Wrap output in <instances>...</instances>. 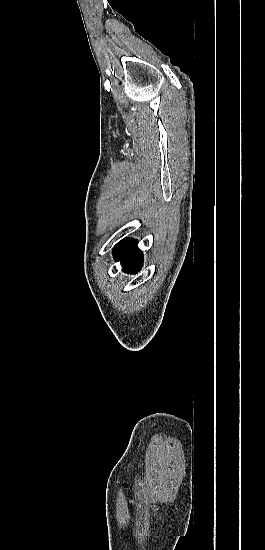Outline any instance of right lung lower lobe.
Instances as JSON below:
<instances>
[{"mask_svg":"<svg viewBox=\"0 0 265 550\" xmlns=\"http://www.w3.org/2000/svg\"><path fill=\"white\" fill-rule=\"evenodd\" d=\"M116 261L120 260L123 271L135 273L140 270L143 262L142 251L137 248V241L134 239L124 240L114 250Z\"/></svg>","mask_w":265,"mask_h":550,"instance_id":"1","label":"right lung lower lobe"}]
</instances>
